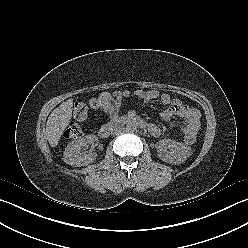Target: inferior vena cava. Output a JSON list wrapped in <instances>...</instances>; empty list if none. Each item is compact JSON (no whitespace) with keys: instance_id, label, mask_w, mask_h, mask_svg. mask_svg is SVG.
Wrapping results in <instances>:
<instances>
[{"instance_id":"602c4592","label":"inferior vena cava","mask_w":248,"mask_h":248,"mask_svg":"<svg viewBox=\"0 0 248 248\" xmlns=\"http://www.w3.org/2000/svg\"><path fill=\"white\" fill-rule=\"evenodd\" d=\"M123 130H124L123 127H121V126H115V127L112 129V134H119V133H121Z\"/></svg>"}]
</instances>
